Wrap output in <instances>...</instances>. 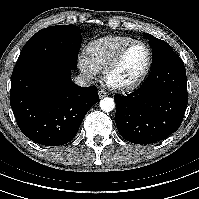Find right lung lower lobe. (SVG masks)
I'll list each match as a JSON object with an SVG mask.
<instances>
[{
    "mask_svg": "<svg viewBox=\"0 0 199 199\" xmlns=\"http://www.w3.org/2000/svg\"><path fill=\"white\" fill-rule=\"evenodd\" d=\"M70 73L71 69L55 62L33 64L12 73L11 108L30 140L46 146L68 143L97 103V88L74 84Z\"/></svg>",
    "mask_w": 199,
    "mask_h": 199,
    "instance_id": "right-lung-lower-lobe-1",
    "label": "right lung lower lobe"
}]
</instances>
